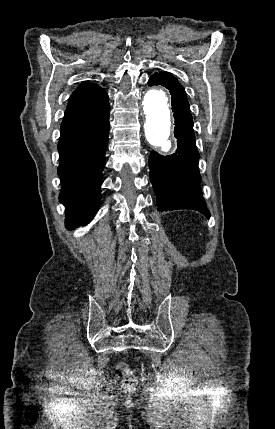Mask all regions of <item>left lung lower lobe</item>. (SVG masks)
Returning a JSON list of instances; mask_svg holds the SVG:
<instances>
[{"label":"left lung lower lobe","mask_w":275,"mask_h":429,"mask_svg":"<svg viewBox=\"0 0 275 429\" xmlns=\"http://www.w3.org/2000/svg\"><path fill=\"white\" fill-rule=\"evenodd\" d=\"M150 86L162 85L170 90L175 118L174 133L177 150L162 156L152 151L149 158L150 180L156 194L158 210L194 209L206 217L210 212L200 188L198 168L200 158L195 144L193 120L184 88L168 73H156L148 81Z\"/></svg>","instance_id":"left-lung-lower-lobe-1"}]
</instances>
